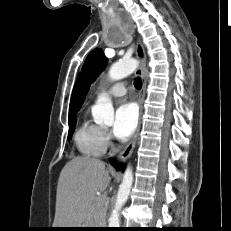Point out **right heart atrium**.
<instances>
[{
    "label": "right heart atrium",
    "instance_id": "obj_1",
    "mask_svg": "<svg viewBox=\"0 0 231 231\" xmlns=\"http://www.w3.org/2000/svg\"><path fill=\"white\" fill-rule=\"evenodd\" d=\"M104 139L107 145L110 144L111 136L107 131H104Z\"/></svg>",
    "mask_w": 231,
    "mask_h": 231
}]
</instances>
